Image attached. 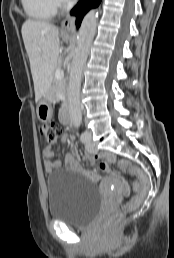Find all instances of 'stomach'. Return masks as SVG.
I'll list each match as a JSON object with an SVG mask.
<instances>
[{
    "mask_svg": "<svg viewBox=\"0 0 174 258\" xmlns=\"http://www.w3.org/2000/svg\"><path fill=\"white\" fill-rule=\"evenodd\" d=\"M51 102V90H49L43 95L37 106L36 112L40 121L46 122L51 119L53 114Z\"/></svg>",
    "mask_w": 174,
    "mask_h": 258,
    "instance_id": "obj_1",
    "label": "stomach"
}]
</instances>
